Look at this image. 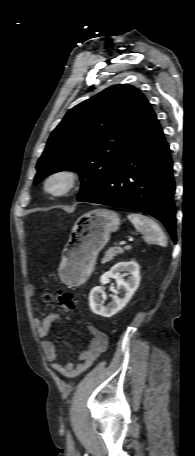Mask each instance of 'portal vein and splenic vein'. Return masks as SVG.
I'll return each instance as SVG.
<instances>
[{
  "mask_svg": "<svg viewBox=\"0 0 195 456\" xmlns=\"http://www.w3.org/2000/svg\"><path fill=\"white\" fill-rule=\"evenodd\" d=\"M130 241H132V239ZM126 243H127V241H121L120 245H125Z\"/></svg>",
  "mask_w": 195,
  "mask_h": 456,
  "instance_id": "portal-vein-and-splenic-vein-1",
  "label": "portal vein and splenic vein"
}]
</instances>
